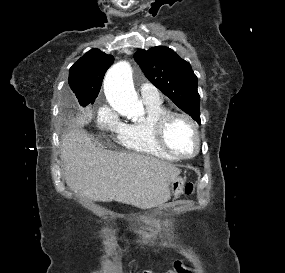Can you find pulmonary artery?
Instances as JSON below:
<instances>
[{
  "instance_id": "1",
  "label": "pulmonary artery",
  "mask_w": 285,
  "mask_h": 273,
  "mask_svg": "<svg viewBox=\"0 0 285 273\" xmlns=\"http://www.w3.org/2000/svg\"><path fill=\"white\" fill-rule=\"evenodd\" d=\"M140 93L143 102H157L162 100L158 89L148 82H145L140 86Z\"/></svg>"
}]
</instances>
